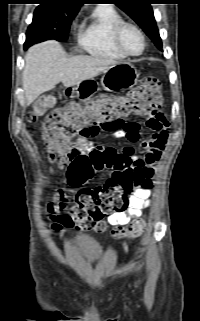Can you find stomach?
I'll use <instances>...</instances> for the list:
<instances>
[{"instance_id":"1","label":"stomach","mask_w":200,"mask_h":321,"mask_svg":"<svg viewBox=\"0 0 200 321\" xmlns=\"http://www.w3.org/2000/svg\"><path fill=\"white\" fill-rule=\"evenodd\" d=\"M139 78L137 69L131 63H118L103 72L101 86L107 91L125 90L133 87ZM99 90L98 83L94 79H88L81 83L67 87L64 95L70 98L85 99Z\"/></svg>"}]
</instances>
